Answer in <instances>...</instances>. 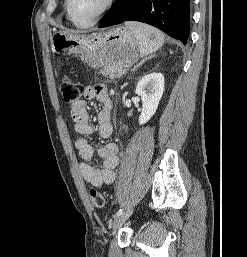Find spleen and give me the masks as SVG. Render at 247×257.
I'll list each match as a JSON object with an SVG mask.
<instances>
[{
    "label": "spleen",
    "mask_w": 247,
    "mask_h": 257,
    "mask_svg": "<svg viewBox=\"0 0 247 257\" xmlns=\"http://www.w3.org/2000/svg\"><path fill=\"white\" fill-rule=\"evenodd\" d=\"M125 26L131 30L137 40L142 55H149L157 51L164 43V35L158 29L139 22H126Z\"/></svg>",
    "instance_id": "obj_1"
}]
</instances>
